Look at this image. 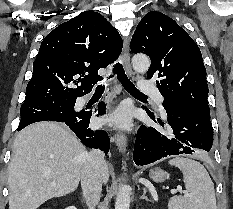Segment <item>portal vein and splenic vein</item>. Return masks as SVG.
Returning <instances> with one entry per match:
<instances>
[{"mask_svg":"<svg viewBox=\"0 0 233 209\" xmlns=\"http://www.w3.org/2000/svg\"><path fill=\"white\" fill-rule=\"evenodd\" d=\"M52 185H55V183H52ZM177 191H182V188H178L177 190H172V193H176Z\"/></svg>","mask_w":233,"mask_h":209,"instance_id":"obj_1","label":"portal vein and splenic vein"}]
</instances>
